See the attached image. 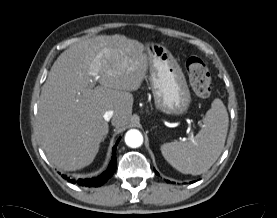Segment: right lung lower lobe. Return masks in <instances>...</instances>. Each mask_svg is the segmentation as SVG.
Returning a JSON list of instances; mask_svg holds the SVG:
<instances>
[{
    "label": "right lung lower lobe",
    "instance_id": "right-lung-lower-lobe-1",
    "mask_svg": "<svg viewBox=\"0 0 277 218\" xmlns=\"http://www.w3.org/2000/svg\"><path fill=\"white\" fill-rule=\"evenodd\" d=\"M119 140L117 141V143L113 147L111 162H110L107 170L105 172H103L101 175H99L98 177H94V178H91V179H78L77 181L75 179H70L69 177L64 176V175H62V177L67 179L69 182L77 183L81 186H86V187H99V186H101L113 175L114 171L116 170L117 162H116V152L115 151H116L117 144H118Z\"/></svg>",
    "mask_w": 277,
    "mask_h": 218
}]
</instances>
